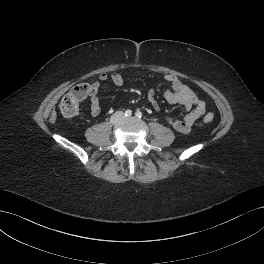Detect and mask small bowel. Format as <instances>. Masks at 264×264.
Listing matches in <instances>:
<instances>
[{
	"mask_svg": "<svg viewBox=\"0 0 264 264\" xmlns=\"http://www.w3.org/2000/svg\"><path fill=\"white\" fill-rule=\"evenodd\" d=\"M108 79H110L115 86H122L124 84V78L119 73H112L110 76L107 74H101L96 81L90 84V109L91 114L94 117L98 116L101 112L98 95L99 89ZM163 79L170 84V89H166L163 93L166 101L170 104L180 105L187 111V114L183 119L168 116L166 117V122L174 130L180 133H188L194 123L206 114L207 105L194 91H192L187 85L183 84L175 75H165ZM155 95V89L152 88L148 91V100L153 109L158 111L160 106Z\"/></svg>",
	"mask_w": 264,
	"mask_h": 264,
	"instance_id": "small-bowel-1",
	"label": "small bowel"
}]
</instances>
